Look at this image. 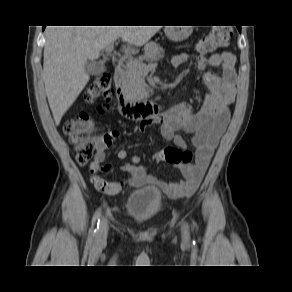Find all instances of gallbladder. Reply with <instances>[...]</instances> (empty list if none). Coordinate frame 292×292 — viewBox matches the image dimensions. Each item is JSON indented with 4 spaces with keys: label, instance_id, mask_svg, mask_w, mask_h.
<instances>
[{
    "label": "gallbladder",
    "instance_id": "obj_1",
    "mask_svg": "<svg viewBox=\"0 0 292 292\" xmlns=\"http://www.w3.org/2000/svg\"><path fill=\"white\" fill-rule=\"evenodd\" d=\"M84 69L88 75H99L105 71V66L100 62L88 61Z\"/></svg>",
    "mask_w": 292,
    "mask_h": 292
}]
</instances>
